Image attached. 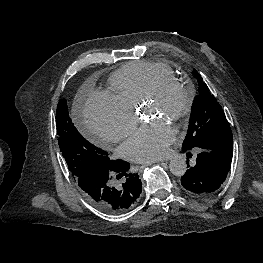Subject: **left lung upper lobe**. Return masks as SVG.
Segmentation results:
<instances>
[{
  "instance_id": "1",
  "label": "left lung upper lobe",
  "mask_w": 263,
  "mask_h": 263,
  "mask_svg": "<svg viewBox=\"0 0 263 263\" xmlns=\"http://www.w3.org/2000/svg\"><path fill=\"white\" fill-rule=\"evenodd\" d=\"M193 74L198 80L199 94L192 105L188 132L182 144L184 151L196 147L214 131L230 128L220 104L203 82L200 74L195 69Z\"/></svg>"
}]
</instances>
